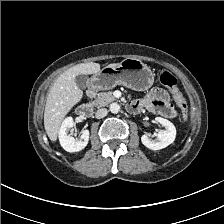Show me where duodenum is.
Segmentation results:
<instances>
[{
  "label": "duodenum",
  "mask_w": 224,
  "mask_h": 224,
  "mask_svg": "<svg viewBox=\"0 0 224 224\" xmlns=\"http://www.w3.org/2000/svg\"><path fill=\"white\" fill-rule=\"evenodd\" d=\"M93 95H94L93 90H88L87 92L88 98H92ZM128 110L130 112H139L142 110V108L135 101H132L128 104ZM91 112H92V105L90 102L83 103L77 108V114L79 117L82 118H87L88 116H90Z\"/></svg>",
  "instance_id": "410a0bca"
}]
</instances>
